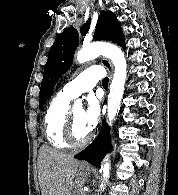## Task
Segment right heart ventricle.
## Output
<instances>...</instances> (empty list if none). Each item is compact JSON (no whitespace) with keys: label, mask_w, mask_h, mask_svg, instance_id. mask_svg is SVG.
Segmentation results:
<instances>
[{"label":"right heart ventricle","mask_w":178,"mask_h":195,"mask_svg":"<svg viewBox=\"0 0 178 195\" xmlns=\"http://www.w3.org/2000/svg\"><path fill=\"white\" fill-rule=\"evenodd\" d=\"M70 101L71 99L59 92L53 98L45 113V135L49 143L57 149H66L70 147L63 137Z\"/></svg>","instance_id":"right-heart-ventricle-1"}]
</instances>
